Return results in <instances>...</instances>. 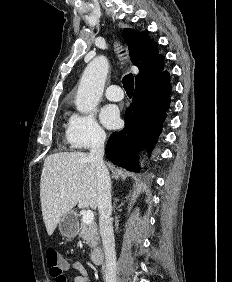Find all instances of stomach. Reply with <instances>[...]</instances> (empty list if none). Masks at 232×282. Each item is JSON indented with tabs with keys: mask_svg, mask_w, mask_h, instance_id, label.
<instances>
[{
	"mask_svg": "<svg viewBox=\"0 0 232 282\" xmlns=\"http://www.w3.org/2000/svg\"><path fill=\"white\" fill-rule=\"evenodd\" d=\"M58 229L63 237L67 239L74 238L79 231L76 213L74 211L65 213L58 223Z\"/></svg>",
	"mask_w": 232,
	"mask_h": 282,
	"instance_id": "0dacf381",
	"label": "stomach"
}]
</instances>
